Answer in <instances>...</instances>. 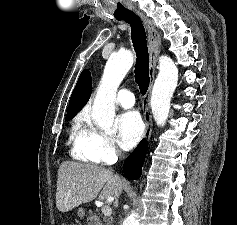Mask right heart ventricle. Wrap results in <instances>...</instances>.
<instances>
[{"mask_svg":"<svg viewBox=\"0 0 237 225\" xmlns=\"http://www.w3.org/2000/svg\"><path fill=\"white\" fill-rule=\"evenodd\" d=\"M88 131L89 126L86 116H78L74 121L70 136L72 141V156L80 161L95 162L90 156L86 145Z\"/></svg>","mask_w":237,"mask_h":225,"instance_id":"obj_1","label":"right heart ventricle"}]
</instances>
